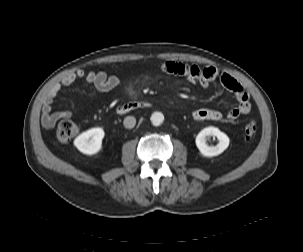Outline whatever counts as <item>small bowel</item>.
<instances>
[{"label": "small bowel", "instance_id": "small-bowel-1", "mask_svg": "<svg viewBox=\"0 0 303 252\" xmlns=\"http://www.w3.org/2000/svg\"><path fill=\"white\" fill-rule=\"evenodd\" d=\"M162 71L167 74L184 77L188 82L202 87H209L215 81H220L226 90L233 94L238 101L237 107L230 109L226 113L225 117L228 120H236L240 115L247 114L251 110L247 90L236 79L214 67H201L194 64L169 61L162 65ZM78 79H84L94 85L101 93L110 92L120 84L118 76L108 75L104 71L85 72L76 70L71 72L49 89L48 96L42 107V124L45 129H51L59 120L73 115L70 111H54L53 99L59 89L72 85ZM193 118L197 121H220L223 118V114L215 109L201 108L193 112Z\"/></svg>", "mask_w": 303, "mask_h": 252}]
</instances>
